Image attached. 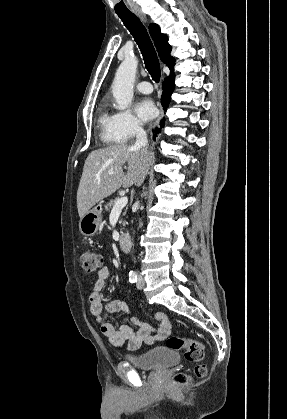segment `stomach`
I'll return each mask as SVG.
<instances>
[{
	"label": "stomach",
	"instance_id": "0dacf381",
	"mask_svg": "<svg viewBox=\"0 0 287 419\" xmlns=\"http://www.w3.org/2000/svg\"><path fill=\"white\" fill-rule=\"evenodd\" d=\"M102 221V208L96 206L89 210L79 222V230L85 236L95 235L100 227Z\"/></svg>",
	"mask_w": 287,
	"mask_h": 419
}]
</instances>
